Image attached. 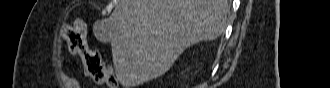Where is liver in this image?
I'll return each mask as SVG.
<instances>
[{
    "label": "liver",
    "instance_id": "liver-1",
    "mask_svg": "<svg viewBox=\"0 0 330 88\" xmlns=\"http://www.w3.org/2000/svg\"><path fill=\"white\" fill-rule=\"evenodd\" d=\"M227 0H120L105 22L125 88L163 75L183 51L225 30Z\"/></svg>",
    "mask_w": 330,
    "mask_h": 88
}]
</instances>
